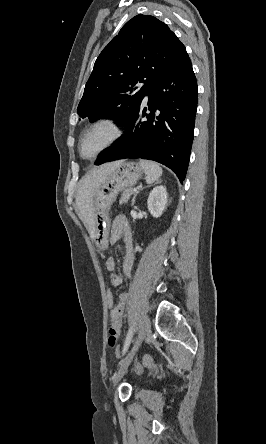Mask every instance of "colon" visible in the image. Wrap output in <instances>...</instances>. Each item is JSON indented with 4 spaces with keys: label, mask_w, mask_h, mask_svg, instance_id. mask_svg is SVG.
I'll use <instances>...</instances> for the list:
<instances>
[{
    "label": "colon",
    "mask_w": 266,
    "mask_h": 444,
    "mask_svg": "<svg viewBox=\"0 0 266 444\" xmlns=\"http://www.w3.org/2000/svg\"><path fill=\"white\" fill-rule=\"evenodd\" d=\"M106 304H107V307L110 309H113L115 307L114 293L110 288L106 291ZM115 352L118 354L119 349L116 348ZM141 364L143 366L153 367V368L158 366L157 362L152 357H150L148 355H144L141 357Z\"/></svg>",
    "instance_id": "colon-1"
}]
</instances>
